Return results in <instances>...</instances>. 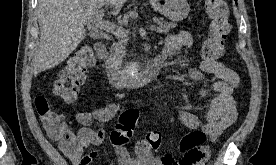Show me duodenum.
I'll list each match as a JSON object with an SVG mask.
<instances>
[{"instance_id":"obj_1","label":"duodenum","mask_w":276,"mask_h":165,"mask_svg":"<svg viewBox=\"0 0 276 165\" xmlns=\"http://www.w3.org/2000/svg\"><path fill=\"white\" fill-rule=\"evenodd\" d=\"M94 48L98 58L103 62L110 84L115 88H123L135 80L150 81L159 75L163 66L164 59L162 57H157L146 66L139 68L138 71L132 75L112 65L107 59V49L104 43L97 42Z\"/></svg>"}]
</instances>
